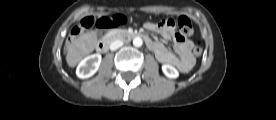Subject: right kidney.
I'll return each instance as SVG.
<instances>
[{
	"instance_id": "obj_1",
	"label": "right kidney",
	"mask_w": 276,
	"mask_h": 120,
	"mask_svg": "<svg viewBox=\"0 0 276 120\" xmlns=\"http://www.w3.org/2000/svg\"><path fill=\"white\" fill-rule=\"evenodd\" d=\"M101 63V55L93 54L85 57L77 66L76 75L81 78H89L93 76L99 69Z\"/></svg>"
}]
</instances>
